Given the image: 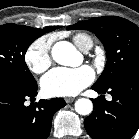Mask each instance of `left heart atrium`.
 <instances>
[{"mask_svg": "<svg viewBox=\"0 0 139 139\" xmlns=\"http://www.w3.org/2000/svg\"><path fill=\"white\" fill-rule=\"evenodd\" d=\"M94 79L95 72L88 65L78 68L58 67L42 78L41 87L48 96H73L90 85Z\"/></svg>", "mask_w": 139, "mask_h": 139, "instance_id": "39dd6f15", "label": "left heart atrium"}]
</instances>
